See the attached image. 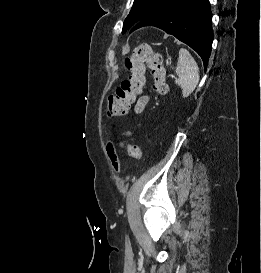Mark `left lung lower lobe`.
<instances>
[{
  "mask_svg": "<svg viewBox=\"0 0 261 273\" xmlns=\"http://www.w3.org/2000/svg\"><path fill=\"white\" fill-rule=\"evenodd\" d=\"M144 26L158 27L189 45L207 67L213 42L209 0H169L135 24L131 32Z\"/></svg>",
  "mask_w": 261,
  "mask_h": 273,
  "instance_id": "left-lung-lower-lobe-1",
  "label": "left lung lower lobe"
}]
</instances>
